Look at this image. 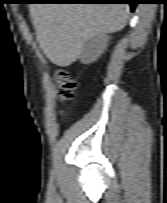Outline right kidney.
Segmentation results:
<instances>
[{"label": "right kidney", "instance_id": "ca27d5eb", "mask_svg": "<svg viewBox=\"0 0 167 203\" xmlns=\"http://www.w3.org/2000/svg\"><path fill=\"white\" fill-rule=\"evenodd\" d=\"M109 37L101 34L93 38L83 49L80 58L84 64L94 62L107 48Z\"/></svg>", "mask_w": 167, "mask_h": 203}]
</instances>
